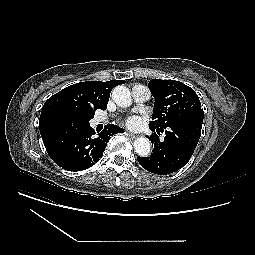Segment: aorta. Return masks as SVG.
Returning <instances> with one entry per match:
<instances>
[{"mask_svg":"<svg viewBox=\"0 0 255 255\" xmlns=\"http://www.w3.org/2000/svg\"><path fill=\"white\" fill-rule=\"evenodd\" d=\"M112 99L120 107H129L132 103L131 94L127 87L118 85L112 90ZM134 149L139 156L147 157L151 153V143L146 137H138L134 141Z\"/></svg>","mask_w":255,"mask_h":255,"instance_id":"762f6f07","label":"aorta"}]
</instances>
